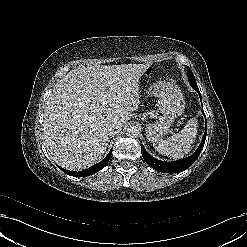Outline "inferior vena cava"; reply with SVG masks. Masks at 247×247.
Listing matches in <instances>:
<instances>
[{
  "label": "inferior vena cava",
  "mask_w": 247,
  "mask_h": 247,
  "mask_svg": "<svg viewBox=\"0 0 247 247\" xmlns=\"http://www.w3.org/2000/svg\"><path fill=\"white\" fill-rule=\"evenodd\" d=\"M122 129V125L119 123H112L107 125L105 132L107 134V136L109 137H113L114 135H116L117 133H119Z\"/></svg>",
  "instance_id": "inferior-vena-cava-1"
}]
</instances>
